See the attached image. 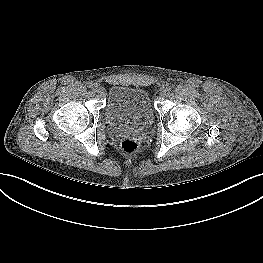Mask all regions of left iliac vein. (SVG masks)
I'll return each instance as SVG.
<instances>
[{
	"instance_id": "4c4485c4",
	"label": "left iliac vein",
	"mask_w": 263,
	"mask_h": 263,
	"mask_svg": "<svg viewBox=\"0 0 263 263\" xmlns=\"http://www.w3.org/2000/svg\"><path fill=\"white\" fill-rule=\"evenodd\" d=\"M166 94H167V90H166V89L161 90V92H160V95H161V96H165Z\"/></svg>"
}]
</instances>
